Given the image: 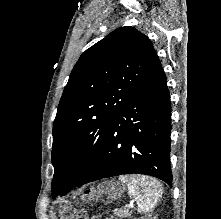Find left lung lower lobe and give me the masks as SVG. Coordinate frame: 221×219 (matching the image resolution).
Here are the masks:
<instances>
[{
  "label": "left lung lower lobe",
  "mask_w": 221,
  "mask_h": 219,
  "mask_svg": "<svg viewBox=\"0 0 221 219\" xmlns=\"http://www.w3.org/2000/svg\"><path fill=\"white\" fill-rule=\"evenodd\" d=\"M157 57L147 78L115 118L94 162L75 186L123 174L154 176L171 185V104Z\"/></svg>",
  "instance_id": "1"
}]
</instances>
